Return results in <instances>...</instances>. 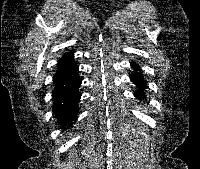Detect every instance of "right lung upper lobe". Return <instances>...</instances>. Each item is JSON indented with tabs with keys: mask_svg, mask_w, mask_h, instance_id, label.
Returning <instances> with one entry per match:
<instances>
[{
	"mask_svg": "<svg viewBox=\"0 0 200 169\" xmlns=\"http://www.w3.org/2000/svg\"><path fill=\"white\" fill-rule=\"evenodd\" d=\"M70 57H72V53L65 54V55L61 58V60L68 59V58H70Z\"/></svg>",
	"mask_w": 200,
	"mask_h": 169,
	"instance_id": "1",
	"label": "right lung upper lobe"
}]
</instances>
